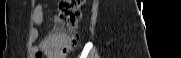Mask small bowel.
I'll return each instance as SVG.
<instances>
[{
	"label": "small bowel",
	"mask_w": 181,
	"mask_h": 58,
	"mask_svg": "<svg viewBox=\"0 0 181 58\" xmlns=\"http://www.w3.org/2000/svg\"><path fill=\"white\" fill-rule=\"evenodd\" d=\"M47 8V5L45 3H39L35 6L34 11H33V21L36 24L38 28H40L43 24L44 20V12ZM39 34V30H35V37H37ZM48 37L44 38L38 46H35L32 48V53L36 58V55L38 53H41L43 55V52H48Z\"/></svg>",
	"instance_id": "c3829d8e"
}]
</instances>
